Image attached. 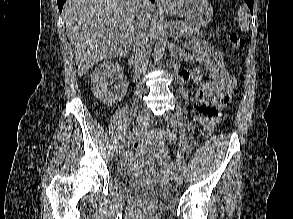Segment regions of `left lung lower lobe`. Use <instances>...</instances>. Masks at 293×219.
<instances>
[{
  "label": "left lung lower lobe",
  "mask_w": 293,
  "mask_h": 219,
  "mask_svg": "<svg viewBox=\"0 0 293 219\" xmlns=\"http://www.w3.org/2000/svg\"><path fill=\"white\" fill-rule=\"evenodd\" d=\"M248 7L250 8L251 13H253V0H245Z\"/></svg>",
  "instance_id": "obj_1"
}]
</instances>
